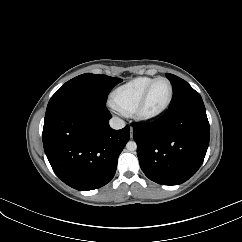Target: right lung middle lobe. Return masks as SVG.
Segmentation results:
<instances>
[{"instance_id":"1","label":"right lung middle lobe","mask_w":242,"mask_h":242,"mask_svg":"<svg viewBox=\"0 0 242 242\" xmlns=\"http://www.w3.org/2000/svg\"><path fill=\"white\" fill-rule=\"evenodd\" d=\"M122 80L106 75L85 73L66 82L51 97L47 110L62 102L89 99L106 104L110 90Z\"/></svg>"}]
</instances>
